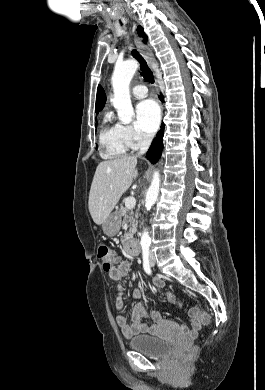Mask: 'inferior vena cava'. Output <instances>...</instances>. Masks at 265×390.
Wrapping results in <instances>:
<instances>
[{
    "mask_svg": "<svg viewBox=\"0 0 265 390\" xmlns=\"http://www.w3.org/2000/svg\"><path fill=\"white\" fill-rule=\"evenodd\" d=\"M152 141V135L150 134H143L141 141H140V150H139V155H142L147 152L150 144Z\"/></svg>",
    "mask_w": 265,
    "mask_h": 390,
    "instance_id": "inferior-vena-cava-1",
    "label": "inferior vena cava"
}]
</instances>
